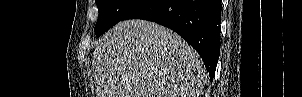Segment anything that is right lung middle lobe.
Here are the masks:
<instances>
[{"label":"right lung middle lobe","instance_id":"dd1d6c3e","mask_svg":"<svg viewBox=\"0 0 302 97\" xmlns=\"http://www.w3.org/2000/svg\"><path fill=\"white\" fill-rule=\"evenodd\" d=\"M141 0H95L99 17L94 28L97 37L122 21L125 14Z\"/></svg>","mask_w":302,"mask_h":97}]
</instances>
